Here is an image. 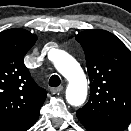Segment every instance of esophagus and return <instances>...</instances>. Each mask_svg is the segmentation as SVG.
<instances>
[{
  "label": "esophagus",
  "instance_id": "1",
  "mask_svg": "<svg viewBox=\"0 0 131 131\" xmlns=\"http://www.w3.org/2000/svg\"><path fill=\"white\" fill-rule=\"evenodd\" d=\"M63 91V86L53 87L51 88V92L53 94H59Z\"/></svg>",
  "mask_w": 131,
  "mask_h": 131
}]
</instances>
